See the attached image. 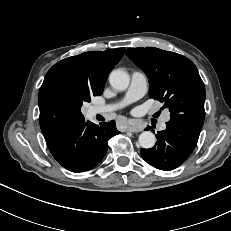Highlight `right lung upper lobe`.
Listing matches in <instances>:
<instances>
[{"mask_svg":"<svg viewBox=\"0 0 231 231\" xmlns=\"http://www.w3.org/2000/svg\"><path fill=\"white\" fill-rule=\"evenodd\" d=\"M124 48L91 51L61 60L46 74L38 95L40 128L46 143L84 122L81 99L100 95Z\"/></svg>","mask_w":231,"mask_h":231,"instance_id":"obj_1","label":"right lung upper lobe"}]
</instances>
